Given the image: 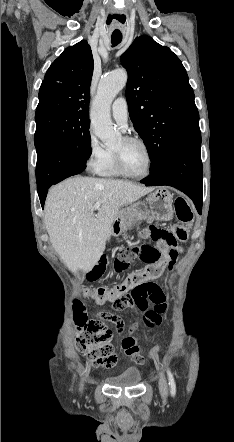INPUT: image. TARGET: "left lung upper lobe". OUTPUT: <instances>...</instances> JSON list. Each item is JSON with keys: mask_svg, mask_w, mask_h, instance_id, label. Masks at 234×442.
I'll return each mask as SVG.
<instances>
[{"mask_svg": "<svg viewBox=\"0 0 234 442\" xmlns=\"http://www.w3.org/2000/svg\"><path fill=\"white\" fill-rule=\"evenodd\" d=\"M121 63L128 71L130 119L148 149L152 173L178 139L199 129L194 92L180 59L149 36L137 37Z\"/></svg>", "mask_w": 234, "mask_h": 442, "instance_id": "obj_1", "label": "left lung upper lobe"}]
</instances>
